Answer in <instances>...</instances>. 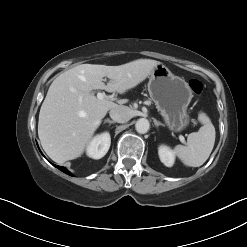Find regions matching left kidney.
Returning a JSON list of instances; mask_svg holds the SVG:
<instances>
[{
	"instance_id": "1",
	"label": "left kidney",
	"mask_w": 247,
	"mask_h": 247,
	"mask_svg": "<svg viewBox=\"0 0 247 247\" xmlns=\"http://www.w3.org/2000/svg\"><path fill=\"white\" fill-rule=\"evenodd\" d=\"M158 154H159V158H160L161 162L165 166H167V167L173 166V164L175 162V154L169 147H167L165 145H161L158 148Z\"/></svg>"
}]
</instances>
